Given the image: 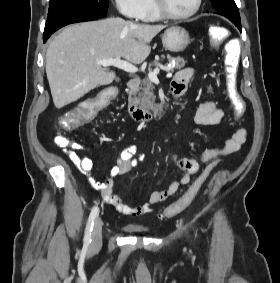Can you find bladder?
I'll use <instances>...</instances> for the list:
<instances>
[{
    "label": "bladder",
    "mask_w": 280,
    "mask_h": 283,
    "mask_svg": "<svg viewBox=\"0 0 280 283\" xmlns=\"http://www.w3.org/2000/svg\"><path fill=\"white\" fill-rule=\"evenodd\" d=\"M123 229L136 234H142L148 231L147 227L136 224H126L123 226Z\"/></svg>",
    "instance_id": "1"
}]
</instances>
